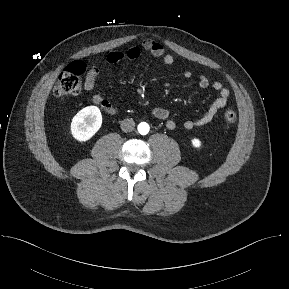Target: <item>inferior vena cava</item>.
I'll return each instance as SVG.
<instances>
[{"instance_id": "inferior-vena-cava-1", "label": "inferior vena cava", "mask_w": 289, "mask_h": 289, "mask_svg": "<svg viewBox=\"0 0 289 289\" xmlns=\"http://www.w3.org/2000/svg\"><path fill=\"white\" fill-rule=\"evenodd\" d=\"M135 127V122L133 121V119H124L121 122V130L123 132H131L134 130Z\"/></svg>"}]
</instances>
